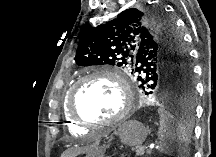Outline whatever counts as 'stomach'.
Instances as JSON below:
<instances>
[{
    "label": "stomach",
    "mask_w": 216,
    "mask_h": 157,
    "mask_svg": "<svg viewBox=\"0 0 216 157\" xmlns=\"http://www.w3.org/2000/svg\"><path fill=\"white\" fill-rule=\"evenodd\" d=\"M114 135L120 137L123 143L136 146L141 144L147 136V128L138 121H127L120 124L114 131ZM108 145H97L85 157H105V151Z\"/></svg>",
    "instance_id": "1"
}]
</instances>
